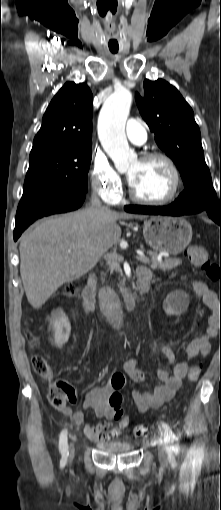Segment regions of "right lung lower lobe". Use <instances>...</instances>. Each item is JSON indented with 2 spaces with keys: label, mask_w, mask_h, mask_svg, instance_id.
Returning <instances> with one entry per match:
<instances>
[{
  "label": "right lung lower lobe",
  "mask_w": 221,
  "mask_h": 510,
  "mask_svg": "<svg viewBox=\"0 0 221 510\" xmlns=\"http://www.w3.org/2000/svg\"><path fill=\"white\" fill-rule=\"evenodd\" d=\"M86 197V194L77 196L73 199L64 201L62 203L56 204L55 206L47 207L41 212L28 216L26 213H22L17 211L16 214V224L14 229V241H16L19 236L22 234V232L36 219L41 218L43 216H48L56 213H64L72 210L78 209L82 203L84 202V199Z\"/></svg>",
  "instance_id": "1"
}]
</instances>
